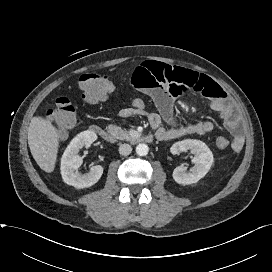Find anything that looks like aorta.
I'll return each instance as SVG.
<instances>
[{
  "label": "aorta",
  "mask_w": 272,
  "mask_h": 272,
  "mask_svg": "<svg viewBox=\"0 0 272 272\" xmlns=\"http://www.w3.org/2000/svg\"><path fill=\"white\" fill-rule=\"evenodd\" d=\"M148 151H149V148L144 143L138 144L136 147V153L139 156H146L148 154Z\"/></svg>",
  "instance_id": "762f6f07"
}]
</instances>
